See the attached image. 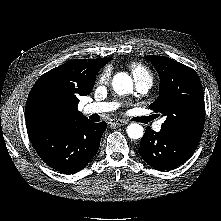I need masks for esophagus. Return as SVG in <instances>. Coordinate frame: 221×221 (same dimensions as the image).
<instances>
[{
  "label": "esophagus",
  "instance_id": "34e87169",
  "mask_svg": "<svg viewBox=\"0 0 221 221\" xmlns=\"http://www.w3.org/2000/svg\"><path fill=\"white\" fill-rule=\"evenodd\" d=\"M128 122L126 120L117 119L112 122L113 125L122 126L126 125Z\"/></svg>",
  "mask_w": 221,
  "mask_h": 221
}]
</instances>
